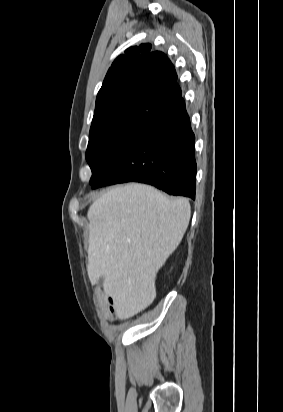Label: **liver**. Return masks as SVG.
<instances>
[{
  "label": "liver",
  "mask_w": 283,
  "mask_h": 412,
  "mask_svg": "<svg viewBox=\"0 0 283 412\" xmlns=\"http://www.w3.org/2000/svg\"><path fill=\"white\" fill-rule=\"evenodd\" d=\"M190 214L186 198L138 183L114 187L89 207L88 276L93 283L104 278L120 319L153 302L157 272L180 244Z\"/></svg>",
  "instance_id": "obj_1"
}]
</instances>
